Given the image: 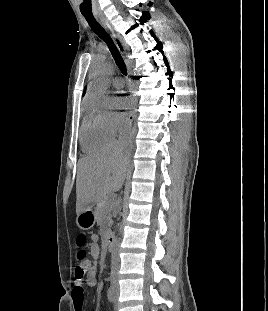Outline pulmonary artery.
<instances>
[{
    "label": "pulmonary artery",
    "mask_w": 268,
    "mask_h": 311,
    "mask_svg": "<svg viewBox=\"0 0 268 311\" xmlns=\"http://www.w3.org/2000/svg\"><path fill=\"white\" fill-rule=\"evenodd\" d=\"M113 86L117 89L123 87V81L120 78H116L113 80Z\"/></svg>",
    "instance_id": "pulmonary-artery-1"
}]
</instances>
